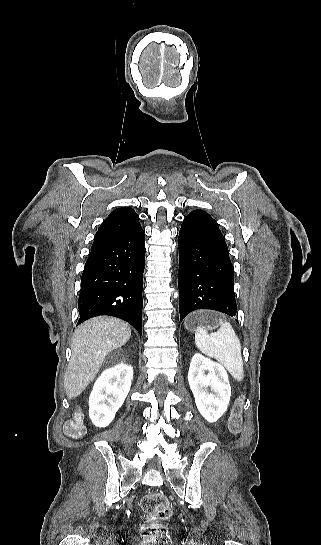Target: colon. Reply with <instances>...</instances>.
Segmentation results:
<instances>
[{
    "mask_svg": "<svg viewBox=\"0 0 321 545\" xmlns=\"http://www.w3.org/2000/svg\"><path fill=\"white\" fill-rule=\"evenodd\" d=\"M243 404V398H238L232 406L229 428L235 434L240 432L242 426ZM65 431L72 438H80L85 433L81 417L70 420ZM140 507L146 514V522L141 528L144 545H170L168 530L162 524V521L171 516V506L167 498L160 493H149L141 499Z\"/></svg>",
    "mask_w": 321,
    "mask_h": 545,
    "instance_id": "1",
    "label": "colon"
}]
</instances>
